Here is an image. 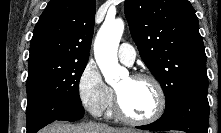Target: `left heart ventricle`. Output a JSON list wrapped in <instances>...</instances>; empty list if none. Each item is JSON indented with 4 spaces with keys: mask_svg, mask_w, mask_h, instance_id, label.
Here are the masks:
<instances>
[{
    "mask_svg": "<svg viewBox=\"0 0 221 133\" xmlns=\"http://www.w3.org/2000/svg\"><path fill=\"white\" fill-rule=\"evenodd\" d=\"M124 112L138 119L149 117L156 109L157 94L151 82L125 77L117 86Z\"/></svg>",
    "mask_w": 221,
    "mask_h": 133,
    "instance_id": "1",
    "label": "left heart ventricle"
}]
</instances>
